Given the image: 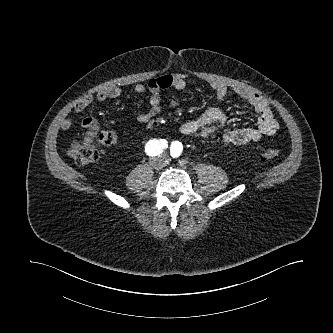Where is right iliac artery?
Masks as SVG:
<instances>
[{"instance_id":"82829eb1","label":"right iliac artery","mask_w":333,"mask_h":333,"mask_svg":"<svg viewBox=\"0 0 333 333\" xmlns=\"http://www.w3.org/2000/svg\"><path fill=\"white\" fill-rule=\"evenodd\" d=\"M168 147V142L165 139H152L146 143L145 152L149 156H157L162 153L163 148Z\"/></svg>"}]
</instances>
